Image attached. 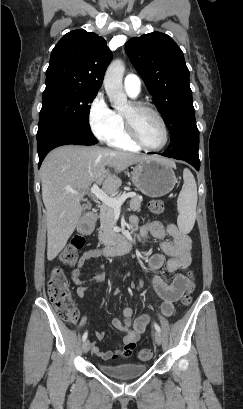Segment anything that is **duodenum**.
<instances>
[{
	"label": "duodenum",
	"instance_id": "410a0bca",
	"mask_svg": "<svg viewBox=\"0 0 243 409\" xmlns=\"http://www.w3.org/2000/svg\"><path fill=\"white\" fill-rule=\"evenodd\" d=\"M132 247L133 240L129 237H122L118 242L105 246L102 252L105 256H115L129 252Z\"/></svg>",
	"mask_w": 243,
	"mask_h": 409
}]
</instances>
